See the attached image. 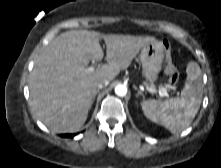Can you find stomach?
Segmentation results:
<instances>
[{
	"label": "stomach",
	"instance_id": "stomach-1",
	"mask_svg": "<svg viewBox=\"0 0 221 168\" xmlns=\"http://www.w3.org/2000/svg\"><path fill=\"white\" fill-rule=\"evenodd\" d=\"M165 46L161 41H154L141 49L140 61L145 79L153 85L158 79L164 60Z\"/></svg>",
	"mask_w": 221,
	"mask_h": 168
}]
</instances>
